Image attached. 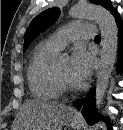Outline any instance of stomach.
Wrapping results in <instances>:
<instances>
[{
    "label": "stomach",
    "mask_w": 123,
    "mask_h": 130,
    "mask_svg": "<svg viewBox=\"0 0 123 130\" xmlns=\"http://www.w3.org/2000/svg\"><path fill=\"white\" fill-rule=\"evenodd\" d=\"M70 126L71 128H73V130H80L81 122L74 119H70Z\"/></svg>",
    "instance_id": "1"
}]
</instances>
